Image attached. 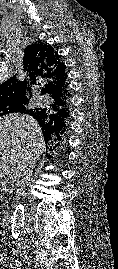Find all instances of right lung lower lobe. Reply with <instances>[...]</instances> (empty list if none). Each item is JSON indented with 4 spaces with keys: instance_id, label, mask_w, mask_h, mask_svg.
Listing matches in <instances>:
<instances>
[{
    "instance_id": "1",
    "label": "right lung lower lobe",
    "mask_w": 118,
    "mask_h": 269,
    "mask_svg": "<svg viewBox=\"0 0 118 269\" xmlns=\"http://www.w3.org/2000/svg\"><path fill=\"white\" fill-rule=\"evenodd\" d=\"M66 128V127H65ZM65 128L62 132H58V134H55L51 140V142H55V141H61V135L65 132ZM46 141V140H45Z\"/></svg>"
}]
</instances>
